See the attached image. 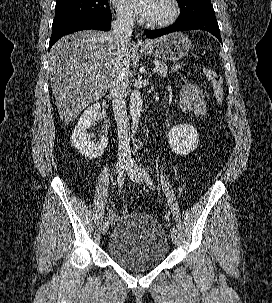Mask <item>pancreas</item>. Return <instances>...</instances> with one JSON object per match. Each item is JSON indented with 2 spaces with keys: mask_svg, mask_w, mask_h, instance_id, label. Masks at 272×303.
Instances as JSON below:
<instances>
[{
  "mask_svg": "<svg viewBox=\"0 0 272 303\" xmlns=\"http://www.w3.org/2000/svg\"><path fill=\"white\" fill-rule=\"evenodd\" d=\"M156 66L159 67V74L162 77H166L167 75V70H168V66L164 61H157L156 62Z\"/></svg>",
  "mask_w": 272,
  "mask_h": 303,
  "instance_id": "cf45deb5",
  "label": "pancreas"
}]
</instances>
